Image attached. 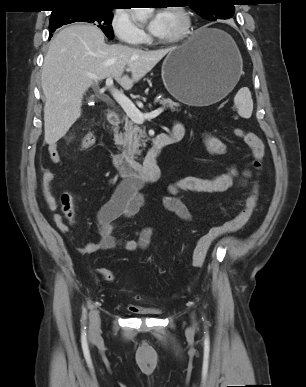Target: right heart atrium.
<instances>
[{"label": "right heart atrium", "mask_w": 306, "mask_h": 387, "mask_svg": "<svg viewBox=\"0 0 306 387\" xmlns=\"http://www.w3.org/2000/svg\"><path fill=\"white\" fill-rule=\"evenodd\" d=\"M111 28L116 38L125 44L139 45L146 40V33L136 24L130 12L125 9L114 11Z\"/></svg>", "instance_id": "1"}]
</instances>
